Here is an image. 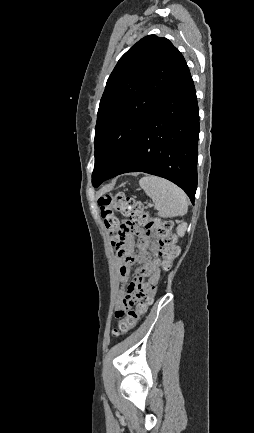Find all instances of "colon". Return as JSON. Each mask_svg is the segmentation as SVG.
<instances>
[{
    "mask_svg": "<svg viewBox=\"0 0 254 433\" xmlns=\"http://www.w3.org/2000/svg\"><path fill=\"white\" fill-rule=\"evenodd\" d=\"M102 220L107 229L111 245L117 256L126 254V241L131 232L139 233L141 228L147 232L154 230L159 240V255L162 265L169 269L179 254L177 238L172 233V223L162 222L158 218L151 217L144 206L133 198L124 194H106L99 198ZM117 214L124 219L120 222ZM148 302L137 301L135 297L128 296L123 306L117 310V326L114 335L125 334L131 331L139 322L140 317L146 312ZM136 305L135 308L133 306Z\"/></svg>",
    "mask_w": 254,
    "mask_h": 433,
    "instance_id": "colon-1",
    "label": "colon"
}]
</instances>
